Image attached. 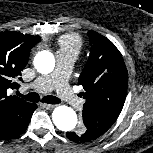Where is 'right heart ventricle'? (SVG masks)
Segmentation results:
<instances>
[{
    "label": "right heart ventricle",
    "instance_id": "right-heart-ventricle-1",
    "mask_svg": "<svg viewBox=\"0 0 153 153\" xmlns=\"http://www.w3.org/2000/svg\"><path fill=\"white\" fill-rule=\"evenodd\" d=\"M60 51L77 55L81 49L82 41L76 34H66L59 39Z\"/></svg>",
    "mask_w": 153,
    "mask_h": 153
}]
</instances>
